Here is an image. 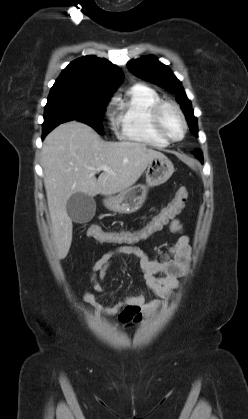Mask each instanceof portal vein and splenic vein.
I'll return each mask as SVG.
<instances>
[{
    "instance_id": "18ae733b",
    "label": "portal vein and splenic vein",
    "mask_w": 248,
    "mask_h": 419,
    "mask_svg": "<svg viewBox=\"0 0 248 419\" xmlns=\"http://www.w3.org/2000/svg\"><path fill=\"white\" fill-rule=\"evenodd\" d=\"M96 171H106V172L112 173V171L106 165L100 166L99 168L96 169Z\"/></svg>"
}]
</instances>
